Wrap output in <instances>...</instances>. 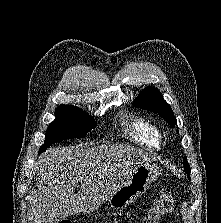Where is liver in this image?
<instances>
[{
	"label": "liver",
	"instance_id": "6515ba94",
	"mask_svg": "<svg viewBox=\"0 0 221 223\" xmlns=\"http://www.w3.org/2000/svg\"><path fill=\"white\" fill-rule=\"evenodd\" d=\"M154 160L146 150L123 144L47 150L35 164L38 194L34 223H58L73 214L94 212L137 166ZM78 182L81 188L75 194Z\"/></svg>",
	"mask_w": 221,
	"mask_h": 223
}]
</instances>
